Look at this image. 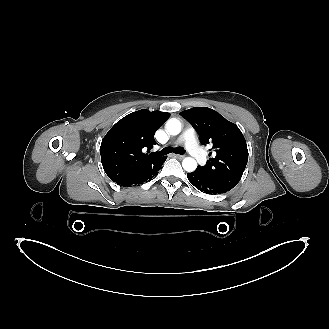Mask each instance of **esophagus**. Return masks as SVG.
<instances>
[{
    "label": "esophagus",
    "instance_id": "34e87169",
    "mask_svg": "<svg viewBox=\"0 0 329 329\" xmlns=\"http://www.w3.org/2000/svg\"><path fill=\"white\" fill-rule=\"evenodd\" d=\"M175 157L178 158V159H183L185 156L184 155H180V154H176Z\"/></svg>",
    "mask_w": 329,
    "mask_h": 329
}]
</instances>
